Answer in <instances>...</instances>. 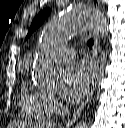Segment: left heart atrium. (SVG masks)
<instances>
[{
  "label": "left heart atrium",
  "instance_id": "obj_1",
  "mask_svg": "<svg viewBox=\"0 0 125 128\" xmlns=\"http://www.w3.org/2000/svg\"><path fill=\"white\" fill-rule=\"evenodd\" d=\"M94 73L86 62L71 63L61 71L60 94L69 102H77L91 90Z\"/></svg>",
  "mask_w": 125,
  "mask_h": 128
}]
</instances>
